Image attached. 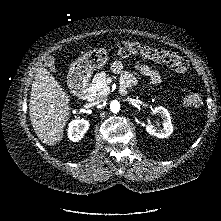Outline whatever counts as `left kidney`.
<instances>
[{
	"instance_id": "obj_1",
	"label": "left kidney",
	"mask_w": 221,
	"mask_h": 221,
	"mask_svg": "<svg viewBox=\"0 0 221 221\" xmlns=\"http://www.w3.org/2000/svg\"><path fill=\"white\" fill-rule=\"evenodd\" d=\"M155 114H158L161 116L163 119V128L162 129H156L154 128L151 124L150 121L148 120L147 125H146V131L154 135L158 138H167L171 135L173 132V125L171 123V117L168 112V110L162 106H158L154 110Z\"/></svg>"
}]
</instances>
